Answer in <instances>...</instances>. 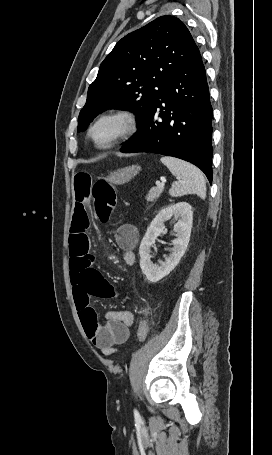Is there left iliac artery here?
<instances>
[{
    "mask_svg": "<svg viewBox=\"0 0 272 455\" xmlns=\"http://www.w3.org/2000/svg\"><path fill=\"white\" fill-rule=\"evenodd\" d=\"M134 414H135V415H138V412H137V410H136V409L134 410Z\"/></svg>",
    "mask_w": 272,
    "mask_h": 455,
    "instance_id": "44dca946",
    "label": "left iliac artery"
}]
</instances>
